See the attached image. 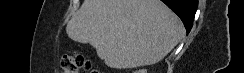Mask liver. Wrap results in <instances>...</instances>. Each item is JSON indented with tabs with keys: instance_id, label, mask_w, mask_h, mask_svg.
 Instances as JSON below:
<instances>
[{
	"instance_id": "liver-1",
	"label": "liver",
	"mask_w": 244,
	"mask_h": 73,
	"mask_svg": "<svg viewBox=\"0 0 244 73\" xmlns=\"http://www.w3.org/2000/svg\"><path fill=\"white\" fill-rule=\"evenodd\" d=\"M66 32L91 44L108 67L125 69L161 61L185 31L160 0H84Z\"/></svg>"
}]
</instances>
